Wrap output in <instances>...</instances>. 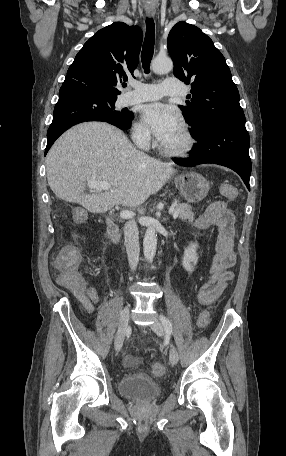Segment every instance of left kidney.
Listing matches in <instances>:
<instances>
[{
    "label": "left kidney",
    "mask_w": 286,
    "mask_h": 456,
    "mask_svg": "<svg viewBox=\"0 0 286 456\" xmlns=\"http://www.w3.org/2000/svg\"><path fill=\"white\" fill-rule=\"evenodd\" d=\"M197 247V243H190L189 246L184 250L182 265L184 269L189 273H192L194 271V266L198 262V255L196 252Z\"/></svg>",
    "instance_id": "1"
}]
</instances>
